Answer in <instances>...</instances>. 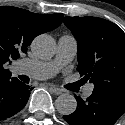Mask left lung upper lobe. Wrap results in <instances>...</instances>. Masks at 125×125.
<instances>
[{"instance_id":"5c2ea615","label":"left lung upper lobe","mask_w":125,"mask_h":125,"mask_svg":"<svg viewBox=\"0 0 125 125\" xmlns=\"http://www.w3.org/2000/svg\"><path fill=\"white\" fill-rule=\"evenodd\" d=\"M64 24L78 43V67L95 91L125 93V33L116 24L97 17H65Z\"/></svg>"}]
</instances>
